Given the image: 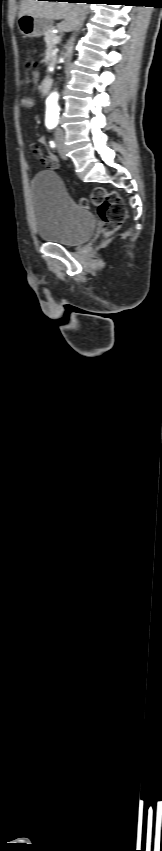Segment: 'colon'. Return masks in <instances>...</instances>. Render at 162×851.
Masks as SVG:
<instances>
[{"label": "colon", "instance_id": "5ec220e1", "mask_svg": "<svg viewBox=\"0 0 162 851\" xmlns=\"http://www.w3.org/2000/svg\"><path fill=\"white\" fill-rule=\"evenodd\" d=\"M38 69L30 61L25 63L24 80L28 89L32 90L38 80ZM80 205L84 208L95 206L98 215L103 222V232L112 234L123 224L127 211L120 195L113 190L104 187H95L89 198H81Z\"/></svg>", "mask_w": 162, "mask_h": 851}]
</instances>
